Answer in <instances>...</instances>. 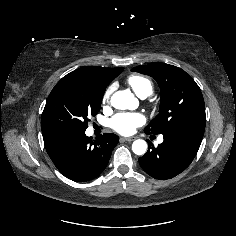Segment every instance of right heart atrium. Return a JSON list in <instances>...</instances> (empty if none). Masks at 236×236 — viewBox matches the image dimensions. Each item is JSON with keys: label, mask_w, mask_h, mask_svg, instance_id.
<instances>
[{"label": "right heart atrium", "mask_w": 236, "mask_h": 236, "mask_svg": "<svg viewBox=\"0 0 236 236\" xmlns=\"http://www.w3.org/2000/svg\"><path fill=\"white\" fill-rule=\"evenodd\" d=\"M111 93H112V87L108 88L103 97H102V102L104 105H107L109 103V100H110V96H111Z\"/></svg>", "instance_id": "right-heart-atrium-1"}]
</instances>
